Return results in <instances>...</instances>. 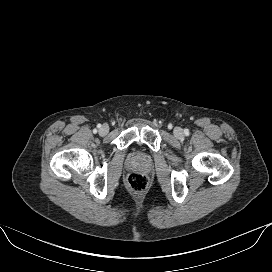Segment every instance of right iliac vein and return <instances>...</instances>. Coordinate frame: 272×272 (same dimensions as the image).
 <instances>
[{"instance_id":"right-iliac-vein-1","label":"right iliac vein","mask_w":272,"mask_h":272,"mask_svg":"<svg viewBox=\"0 0 272 272\" xmlns=\"http://www.w3.org/2000/svg\"><path fill=\"white\" fill-rule=\"evenodd\" d=\"M109 132V127L107 124H104L101 126V128L99 129V134L104 136Z\"/></svg>"}]
</instances>
